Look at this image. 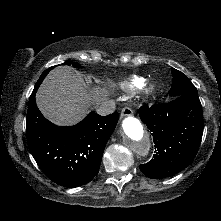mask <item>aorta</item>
<instances>
[{
	"mask_svg": "<svg viewBox=\"0 0 221 221\" xmlns=\"http://www.w3.org/2000/svg\"><path fill=\"white\" fill-rule=\"evenodd\" d=\"M121 133L125 144L136 154L146 156L151 148L150 139L145 132L141 122L128 116L122 121Z\"/></svg>",
	"mask_w": 221,
	"mask_h": 221,
	"instance_id": "1",
	"label": "aorta"
}]
</instances>
